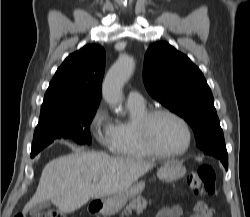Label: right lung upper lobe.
<instances>
[{
  "mask_svg": "<svg viewBox=\"0 0 250 217\" xmlns=\"http://www.w3.org/2000/svg\"><path fill=\"white\" fill-rule=\"evenodd\" d=\"M105 68V50L86 45L57 69L45 93L40 116L69 109L98 107Z\"/></svg>",
  "mask_w": 250,
  "mask_h": 217,
  "instance_id": "cb5924a9",
  "label": "right lung upper lobe"
}]
</instances>
